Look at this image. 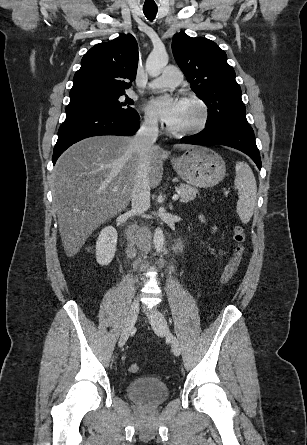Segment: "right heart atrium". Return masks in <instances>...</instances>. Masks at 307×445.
<instances>
[{"label": "right heart atrium", "mask_w": 307, "mask_h": 445, "mask_svg": "<svg viewBox=\"0 0 307 445\" xmlns=\"http://www.w3.org/2000/svg\"><path fill=\"white\" fill-rule=\"evenodd\" d=\"M145 126L148 129L155 130L158 127V119L152 112H147L144 119Z\"/></svg>", "instance_id": "d8ad5b80"}]
</instances>
